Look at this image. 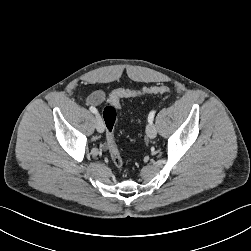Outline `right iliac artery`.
I'll list each match as a JSON object with an SVG mask.
<instances>
[{
	"label": "right iliac artery",
	"instance_id": "right-iliac-artery-1",
	"mask_svg": "<svg viewBox=\"0 0 251 251\" xmlns=\"http://www.w3.org/2000/svg\"><path fill=\"white\" fill-rule=\"evenodd\" d=\"M89 110H90L92 113H94V114H98L97 109H96L95 107H93V106H91V107L89 108Z\"/></svg>",
	"mask_w": 251,
	"mask_h": 251
}]
</instances>
